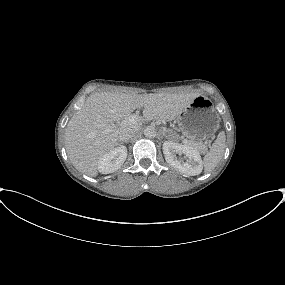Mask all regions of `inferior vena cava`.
Listing matches in <instances>:
<instances>
[{"label":"inferior vena cava","instance_id":"obj_1","mask_svg":"<svg viewBox=\"0 0 285 285\" xmlns=\"http://www.w3.org/2000/svg\"><path fill=\"white\" fill-rule=\"evenodd\" d=\"M137 131L132 128H124L119 132L118 140L122 143L128 142Z\"/></svg>","mask_w":285,"mask_h":285}]
</instances>
